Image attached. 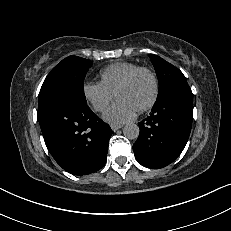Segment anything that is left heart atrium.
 <instances>
[{
  "label": "left heart atrium",
  "instance_id": "obj_1",
  "mask_svg": "<svg viewBox=\"0 0 231 231\" xmlns=\"http://www.w3.org/2000/svg\"><path fill=\"white\" fill-rule=\"evenodd\" d=\"M136 110L126 101L117 99L105 112L104 118L112 124H120L122 122L134 118Z\"/></svg>",
  "mask_w": 231,
  "mask_h": 231
}]
</instances>
